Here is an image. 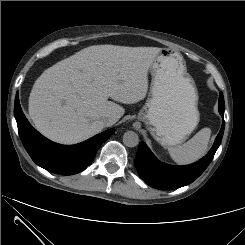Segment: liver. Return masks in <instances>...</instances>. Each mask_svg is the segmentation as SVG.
I'll use <instances>...</instances> for the list:
<instances>
[{"label":"liver","mask_w":245,"mask_h":245,"mask_svg":"<svg viewBox=\"0 0 245 245\" xmlns=\"http://www.w3.org/2000/svg\"><path fill=\"white\" fill-rule=\"evenodd\" d=\"M157 47L93 45L46 69L29 96V116L36 129L62 144H76L98 134L106 116L116 119L148 90V70ZM113 101H109L108 99Z\"/></svg>","instance_id":"liver-1"}]
</instances>
